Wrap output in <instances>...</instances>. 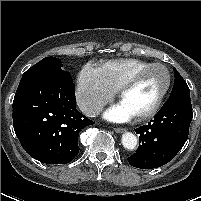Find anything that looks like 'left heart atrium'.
<instances>
[{
    "label": "left heart atrium",
    "mask_w": 201,
    "mask_h": 201,
    "mask_svg": "<svg viewBox=\"0 0 201 201\" xmlns=\"http://www.w3.org/2000/svg\"><path fill=\"white\" fill-rule=\"evenodd\" d=\"M132 117L133 114L122 103L111 107L105 113V118L113 122H125L130 120Z\"/></svg>",
    "instance_id": "39dd6f15"
}]
</instances>
